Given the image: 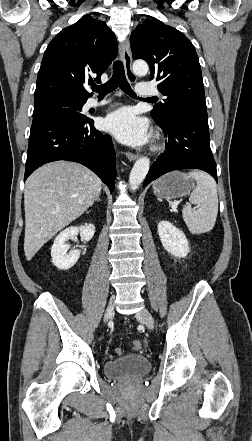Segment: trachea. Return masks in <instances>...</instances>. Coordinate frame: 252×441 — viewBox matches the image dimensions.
<instances>
[{"label": "trachea", "instance_id": "1", "mask_svg": "<svg viewBox=\"0 0 252 441\" xmlns=\"http://www.w3.org/2000/svg\"><path fill=\"white\" fill-rule=\"evenodd\" d=\"M118 87L127 95L136 98V94L131 89V86L129 85L125 77L123 64L119 60L115 61L113 64V75L109 79V81L99 86L93 85L91 88L93 91H96L99 94V96H105L108 93L117 89ZM155 99L156 98L151 97V98H147L146 100H155Z\"/></svg>", "mask_w": 252, "mask_h": 441}]
</instances>
